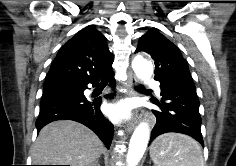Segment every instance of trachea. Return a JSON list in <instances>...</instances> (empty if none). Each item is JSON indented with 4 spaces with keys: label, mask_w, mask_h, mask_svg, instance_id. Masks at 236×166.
I'll return each mask as SVG.
<instances>
[{
    "label": "trachea",
    "mask_w": 236,
    "mask_h": 166,
    "mask_svg": "<svg viewBox=\"0 0 236 166\" xmlns=\"http://www.w3.org/2000/svg\"><path fill=\"white\" fill-rule=\"evenodd\" d=\"M101 85H106V82H101ZM140 88H142V87H140Z\"/></svg>",
    "instance_id": "1"
}]
</instances>
